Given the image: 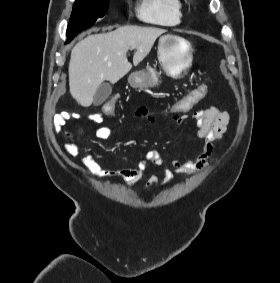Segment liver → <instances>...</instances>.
I'll return each instance as SVG.
<instances>
[{
	"instance_id": "6515ba94",
	"label": "liver",
	"mask_w": 280,
	"mask_h": 283,
	"mask_svg": "<svg viewBox=\"0 0 280 283\" xmlns=\"http://www.w3.org/2000/svg\"><path fill=\"white\" fill-rule=\"evenodd\" d=\"M165 29L123 26L108 33L89 35L77 43L69 62V87L72 97L89 107L99 85L119 81L132 68L126 53L135 48L133 64L137 66L151 51Z\"/></svg>"
}]
</instances>
